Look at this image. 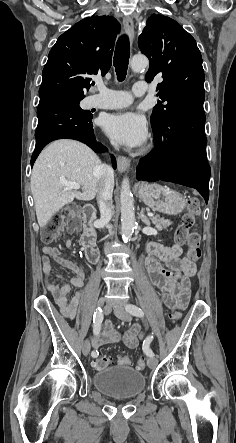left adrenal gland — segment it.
<instances>
[{
	"instance_id": "1",
	"label": "left adrenal gland",
	"mask_w": 236,
	"mask_h": 443,
	"mask_svg": "<svg viewBox=\"0 0 236 443\" xmlns=\"http://www.w3.org/2000/svg\"><path fill=\"white\" fill-rule=\"evenodd\" d=\"M138 218L146 225L150 226L149 219L144 215V210L142 209L141 212L138 215Z\"/></svg>"
}]
</instances>
